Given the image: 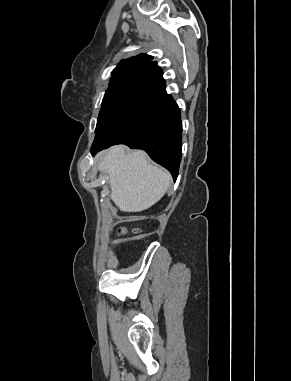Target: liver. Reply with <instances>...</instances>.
I'll return each mask as SVG.
<instances>
[{"mask_svg":"<svg viewBox=\"0 0 291 381\" xmlns=\"http://www.w3.org/2000/svg\"><path fill=\"white\" fill-rule=\"evenodd\" d=\"M98 170L109 175L111 199L123 212H140L157 203L171 183V175L149 163L144 151L115 146L99 156Z\"/></svg>","mask_w":291,"mask_h":381,"instance_id":"1","label":"liver"}]
</instances>
